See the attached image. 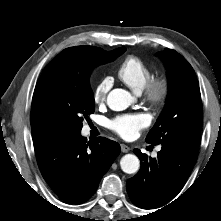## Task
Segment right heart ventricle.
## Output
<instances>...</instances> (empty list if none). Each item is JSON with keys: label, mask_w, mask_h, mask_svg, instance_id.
<instances>
[{"label": "right heart ventricle", "mask_w": 221, "mask_h": 221, "mask_svg": "<svg viewBox=\"0 0 221 221\" xmlns=\"http://www.w3.org/2000/svg\"><path fill=\"white\" fill-rule=\"evenodd\" d=\"M117 74L135 93H140L151 78L152 69L140 57L128 56L120 64Z\"/></svg>", "instance_id": "1"}]
</instances>
